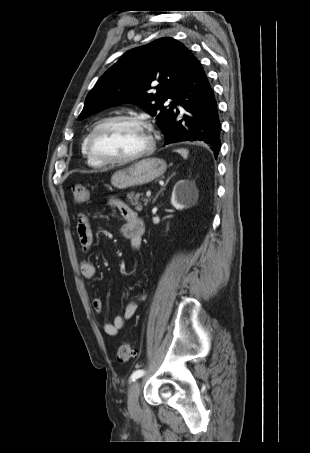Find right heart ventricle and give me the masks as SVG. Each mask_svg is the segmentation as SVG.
I'll return each instance as SVG.
<instances>
[{"label": "right heart ventricle", "mask_w": 310, "mask_h": 453, "mask_svg": "<svg viewBox=\"0 0 310 453\" xmlns=\"http://www.w3.org/2000/svg\"><path fill=\"white\" fill-rule=\"evenodd\" d=\"M87 138L88 134L84 137L82 143H81V152L84 155L86 162L88 166L92 168H100L103 167L105 164L95 160L89 153L88 148H87Z\"/></svg>", "instance_id": "1"}]
</instances>
